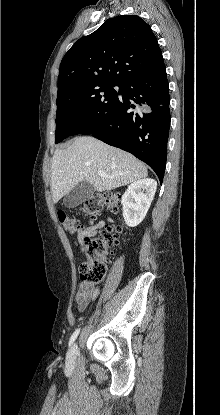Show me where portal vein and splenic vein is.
Returning a JSON list of instances; mask_svg holds the SVG:
<instances>
[{"mask_svg": "<svg viewBox=\"0 0 220 415\" xmlns=\"http://www.w3.org/2000/svg\"><path fill=\"white\" fill-rule=\"evenodd\" d=\"M98 175H99V176H102V177H105V176H106V175L104 174V172H102V171H99V172H98Z\"/></svg>", "mask_w": 220, "mask_h": 415, "instance_id": "18ae733b", "label": "portal vein and splenic vein"}]
</instances>
